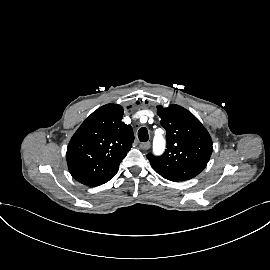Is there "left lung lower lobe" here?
<instances>
[{
	"mask_svg": "<svg viewBox=\"0 0 270 270\" xmlns=\"http://www.w3.org/2000/svg\"><path fill=\"white\" fill-rule=\"evenodd\" d=\"M168 180H171V179H168ZM171 181H176V180H171ZM178 182V181H177Z\"/></svg>",
	"mask_w": 270,
	"mask_h": 270,
	"instance_id": "obj_1",
	"label": "left lung lower lobe"
}]
</instances>
